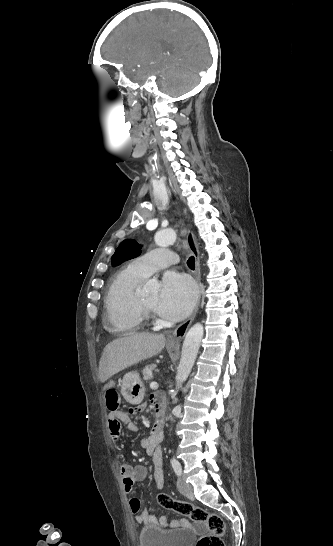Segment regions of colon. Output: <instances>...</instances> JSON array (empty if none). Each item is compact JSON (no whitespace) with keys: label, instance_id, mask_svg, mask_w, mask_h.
Returning a JSON list of instances; mask_svg holds the SVG:
<instances>
[{"label":"colon","instance_id":"1","mask_svg":"<svg viewBox=\"0 0 333 546\" xmlns=\"http://www.w3.org/2000/svg\"><path fill=\"white\" fill-rule=\"evenodd\" d=\"M105 397L109 410H117L120 403L118 392L116 390L107 391ZM157 500L159 505L164 509L172 510L189 517L194 522L207 525L208 533L197 541L196 546H225L223 541L225 523L220 515L207 512L203 508L187 501L176 500L164 493L159 494Z\"/></svg>","mask_w":333,"mask_h":546}]
</instances>
